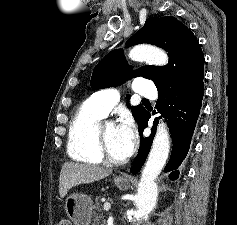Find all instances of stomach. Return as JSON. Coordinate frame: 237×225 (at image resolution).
Wrapping results in <instances>:
<instances>
[{
	"label": "stomach",
	"mask_w": 237,
	"mask_h": 225,
	"mask_svg": "<svg viewBox=\"0 0 237 225\" xmlns=\"http://www.w3.org/2000/svg\"><path fill=\"white\" fill-rule=\"evenodd\" d=\"M114 183L124 191L130 187L131 181L129 178L117 176L114 178ZM65 210L75 225H89L93 210L92 199L86 194H72L66 199Z\"/></svg>",
	"instance_id": "1"
}]
</instances>
